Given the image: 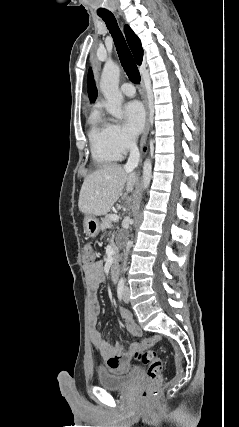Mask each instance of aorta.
I'll return each instance as SVG.
<instances>
[{
  "instance_id": "aorta-1",
  "label": "aorta",
  "mask_w": 239,
  "mask_h": 427,
  "mask_svg": "<svg viewBox=\"0 0 239 427\" xmlns=\"http://www.w3.org/2000/svg\"><path fill=\"white\" fill-rule=\"evenodd\" d=\"M120 76V68L114 63H106L104 65L100 89L106 98L107 112L117 119H122V94L119 91L118 83ZM152 178V164L149 159L143 164V188L147 189Z\"/></svg>"
}]
</instances>
